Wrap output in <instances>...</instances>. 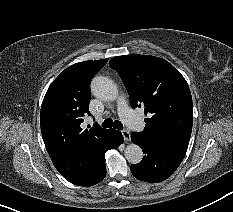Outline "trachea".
Returning a JSON list of instances; mask_svg holds the SVG:
<instances>
[{"mask_svg":"<svg viewBox=\"0 0 233 212\" xmlns=\"http://www.w3.org/2000/svg\"><path fill=\"white\" fill-rule=\"evenodd\" d=\"M102 127H105V128L114 127V128H116L118 130H122L123 129V124L118 120L113 121L111 118H107L102 123Z\"/></svg>","mask_w":233,"mask_h":212,"instance_id":"3493384b","label":"trachea"}]
</instances>
